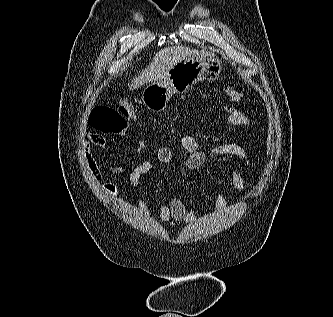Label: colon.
<instances>
[{
	"label": "colon",
	"mask_w": 333,
	"mask_h": 317,
	"mask_svg": "<svg viewBox=\"0 0 333 317\" xmlns=\"http://www.w3.org/2000/svg\"><path fill=\"white\" fill-rule=\"evenodd\" d=\"M226 94L233 102L243 98V94L234 89H227ZM136 120L137 115L133 105L123 102L117 107L98 106L94 108L89 116V125L103 134L123 136L130 131L132 123Z\"/></svg>",
	"instance_id": "1"
}]
</instances>
